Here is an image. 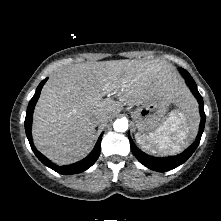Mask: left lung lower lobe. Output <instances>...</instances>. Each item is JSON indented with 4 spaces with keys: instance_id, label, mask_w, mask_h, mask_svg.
I'll return each instance as SVG.
<instances>
[{
    "instance_id": "obj_1",
    "label": "left lung lower lobe",
    "mask_w": 221,
    "mask_h": 221,
    "mask_svg": "<svg viewBox=\"0 0 221 221\" xmlns=\"http://www.w3.org/2000/svg\"><path fill=\"white\" fill-rule=\"evenodd\" d=\"M179 70L181 74L183 75V77L186 79V82L188 86L190 87V90L192 91V93L194 94V96L199 102L201 122H200L199 132H198L196 141L183 153L177 156L168 157V158H156V157L149 156L145 154L144 152H142L140 149H138L133 143L131 137L128 135L132 153L138 159V161L144 166H146L147 168H150L152 170L159 171V172L169 171L183 164L196 150L198 144L200 143V139H201L204 126H205V113H204L203 99L197 90L196 83L194 82L190 74L185 69L179 68Z\"/></svg>"
}]
</instances>
